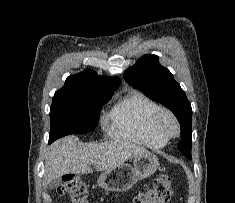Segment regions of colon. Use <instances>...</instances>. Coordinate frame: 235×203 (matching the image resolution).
Listing matches in <instances>:
<instances>
[{
	"label": "colon",
	"mask_w": 235,
	"mask_h": 203,
	"mask_svg": "<svg viewBox=\"0 0 235 203\" xmlns=\"http://www.w3.org/2000/svg\"><path fill=\"white\" fill-rule=\"evenodd\" d=\"M58 192L61 195H67L72 203H89L86 186L76 175H65L58 187ZM172 195L170 178L159 176L149 188L134 198L133 203H167Z\"/></svg>",
	"instance_id": "colon-1"
}]
</instances>
